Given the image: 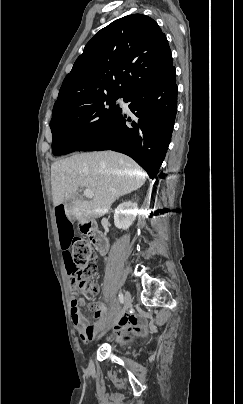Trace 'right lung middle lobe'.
Returning <instances> with one entry per match:
<instances>
[{
    "label": "right lung middle lobe",
    "mask_w": 243,
    "mask_h": 404,
    "mask_svg": "<svg viewBox=\"0 0 243 404\" xmlns=\"http://www.w3.org/2000/svg\"><path fill=\"white\" fill-rule=\"evenodd\" d=\"M119 97H102L52 117V152L55 156L76 151L96 136L120 110Z\"/></svg>",
    "instance_id": "obj_1"
}]
</instances>
